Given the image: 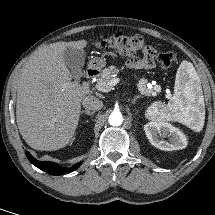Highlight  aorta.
Wrapping results in <instances>:
<instances>
[{"instance_id": "obj_1", "label": "aorta", "mask_w": 215, "mask_h": 215, "mask_svg": "<svg viewBox=\"0 0 215 215\" xmlns=\"http://www.w3.org/2000/svg\"><path fill=\"white\" fill-rule=\"evenodd\" d=\"M123 122V117L119 112H113L109 116V124L112 126H120Z\"/></svg>"}]
</instances>
